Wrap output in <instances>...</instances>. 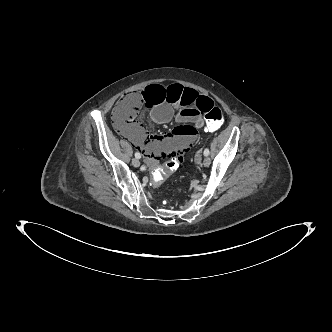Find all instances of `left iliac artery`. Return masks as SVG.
Wrapping results in <instances>:
<instances>
[{"label": "left iliac artery", "mask_w": 332, "mask_h": 332, "mask_svg": "<svg viewBox=\"0 0 332 332\" xmlns=\"http://www.w3.org/2000/svg\"><path fill=\"white\" fill-rule=\"evenodd\" d=\"M204 156H208L210 154V151L208 148H206L203 152Z\"/></svg>", "instance_id": "44dca946"}]
</instances>
